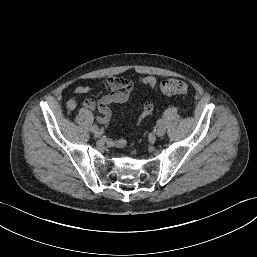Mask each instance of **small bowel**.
I'll use <instances>...</instances> for the list:
<instances>
[{"label":"small bowel","mask_w":257,"mask_h":257,"mask_svg":"<svg viewBox=\"0 0 257 257\" xmlns=\"http://www.w3.org/2000/svg\"><path fill=\"white\" fill-rule=\"evenodd\" d=\"M106 83L111 89V92L100 99H86L83 102V107L90 110H97L100 115L98 116V122L101 124H107L111 119V109L110 105L114 103H124L126 102L131 92L134 89V82L130 79L118 78L116 76H108L106 78ZM140 85L147 86L150 88L155 87L158 84V79L154 76H148L142 78L139 81ZM91 90L90 85L81 84L75 87L74 92L76 95L86 94ZM66 106L68 109L73 110L77 106V98L71 97ZM154 110V106L150 102H146L143 105L142 112L137 120V125H139L145 118L151 116ZM109 144L115 147H121L126 144V141L123 139L110 141Z\"/></svg>","instance_id":"obj_1"}]
</instances>
